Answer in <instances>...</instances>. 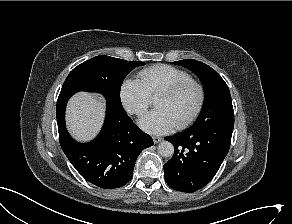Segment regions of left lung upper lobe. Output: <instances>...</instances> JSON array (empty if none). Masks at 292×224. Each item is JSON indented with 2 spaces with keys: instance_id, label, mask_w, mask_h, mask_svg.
<instances>
[{
  "instance_id": "5c2ea615",
  "label": "left lung upper lobe",
  "mask_w": 292,
  "mask_h": 224,
  "mask_svg": "<svg viewBox=\"0 0 292 224\" xmlns=\"http://www.w3.org/2000/svg\"><path fill=\"white\" fill-rule=\"evenodd\" d=\"M192 70L204 87L203 108L190 130H200L216 122L234 119L229 88L222 77L210 66L194 60L184 59L173 62Z\"/></svg>"
}]
</instances>
